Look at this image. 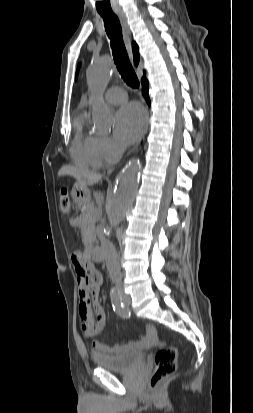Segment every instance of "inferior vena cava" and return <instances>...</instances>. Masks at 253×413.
Returning <instances> with one entry per match:
<instances>
[{
	"label": "inferior vena cava",
	"mask_w": 253,
	"mask_h": 413,
	"mask_svg": "<svg viewBox=\"0 0 253 413\" xmlns=\"http://www.w3.org/2000/svg\"><path fill=\"white\" fill-rule=\"evenodd\" d=\"M101 248L104 252L105 259H106V266L109 272L110 278L112 282L121 288L122 286V277H121V269L119 264L118 255L114 245L105 238V236H100Z\"/></svg>",
	"instance_id": "obj_1"
}]
</instances>
